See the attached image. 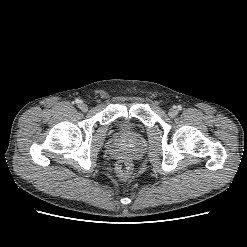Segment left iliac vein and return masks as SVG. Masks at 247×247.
Returning <instances> with one entry per match:
<instances>
[{"label":"left iliac vein","instance_id":"left-iliac-vein-1","mask_svg":"<svg viewBox=\"0 0 247 247\" xmlns=\"http://www.w3.org/2000/svg\"><path fill=\"white\" fill-rule=\"evenodd\" d=\"M168 113L170 117H175L178 114V110L176 108H171Z\"/></svg>","mask_w":247,"mask_h":247}]
</instances>
